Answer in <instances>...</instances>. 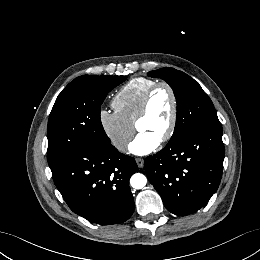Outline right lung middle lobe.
Masks as SVG:
<instances>
[{
	"label": "right lung middle lobe",
	"mask_w": 260,
	"mask_h": 260,
	"mask_svg": "<svg viewBox=\"0 0 260 260\" xmlns=\"http://www.w3.org/2000/svg\"><path fill=\"white\" fill-rule=\"evenodd\" d=\"M125 80L126 76L83 75L59 94L47 128L50 167L78 149L112 148L101 123L100 107L108 92Z\"/></svg>",
	"instance_id": "right-lung-middle-lobe-1"
}]
</instances>
